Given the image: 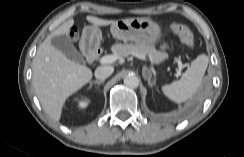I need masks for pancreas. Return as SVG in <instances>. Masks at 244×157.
I'll list each match as a JSON object with an SVG mask.
<instances>
[{"mask_svg": "<svg viewBox=\"0 0 244 157\" xmlns=\"http://www.w3.org/2000/svg\"><path fill=\"white\" fill-rule=\"evenodd\" d=\"M111 50L117 58L128 57L129 55L136 53L148 56L150 61L155 64H158L163 60V54L150 46L117 43L112 46Z\"/></svg>", "mask_w": 244, "mask_h": 157, "instance_id": "cf45deb5", "label": "pancreas"}]
</instances>
